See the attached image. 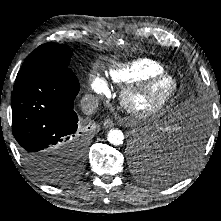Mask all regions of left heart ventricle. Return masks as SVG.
<instances>
[{
    "label": "left heart ventricle",
    "instance_id": "left-heart-ventricle-1",
    "mask_svg": "<svg viewBox=\"0 0 221 221\" xmlns=\"http://www.w3.org/2000/svg\"><path fill=\"white\" fill-rule=\"evenodd\" d=\"M170 89V83L166 80L157 82L147 92L137 98V102L143 106H150L158 102Z\"/></svg>",
    "mask_w": 221,
    "mask_h": 221
}]
</instances>
